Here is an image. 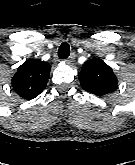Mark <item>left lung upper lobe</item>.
Wrapping results in <instances>:
<instances>
[{
	"label": "left lung upper lobe",
	"mask_w": 135,
	"mask_h": 165,
	"mask_svg": "<svg viewBox=\"0 0 135 165\" xmlns=\"http://www.w3.org/2000/svg\"><path fill=\"white\" fill-rule=\"evenodd\" d=\"M78 76L81 86L96 96L113 92L118 83L112 68L99 58L86 61Z\"/></svg>",
	"instance_id": "1"
}]
</instances>
